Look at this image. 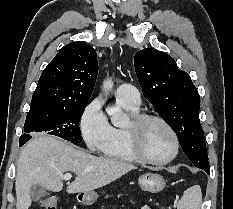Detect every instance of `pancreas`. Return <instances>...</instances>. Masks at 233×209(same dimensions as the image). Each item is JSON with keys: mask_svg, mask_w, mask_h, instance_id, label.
<instances>
[{"mask_svg": "<svg viewBox=\"0 0 233 209\" xmlns=\"http://www.w3.org/2000/svg\"><path fill=\"white\" fill-rule=\"evenodd\" d=\"M121 195H118V198L120 197ZM108 197V195L106 196V198Z\"/></svg>", "mask_w": 233, "mask_h": 209, "instance_id": "obj_1", "label": "pancreas"}]
</instances>
